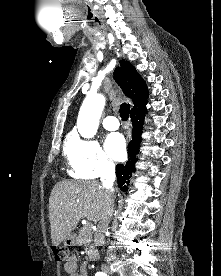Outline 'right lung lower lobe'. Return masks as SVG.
I'll list each match as a JSON object with an SVG mask.
<instances>
[{"mask_svg":"<svg viewBox=\"0 0 221 276\" xmlns=\"http://www.w3.org/2000/svg\"><path fill=\"white\" fill-rule=\"evenodd\" d=\"M147 112L146 107L130 113V117L133 124L132 140L128 145L129 160L125 165L118 164L116 166V176L118 186L122 191H126L127 184L133 172H135V163L137 162L136 155L139 152V145L141 142V134L143 129L144 117Z\"/></svg>","mask_w":221,"mask_h":276,"instance_id":"98d812e1","label":"right lung lower lobe"}]
</instances>
